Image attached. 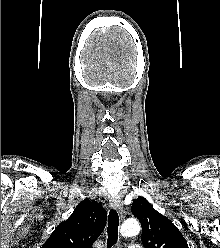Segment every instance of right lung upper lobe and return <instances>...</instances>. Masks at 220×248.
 Here are the masks:
<instances>
[{
    "mask_svg": "<svg viewBox=\"0 0 220 248\" xmlns=\"http://www.w3.org/2000/svg\"><path fill=\"white\" fill-rule=\"evenodd\" d=\"M106 225V211L91 200L81 201L52 232L42 248H92Z\"/></svg>",
    "mask_w": 220,
    "mask_h": 248,
    "instance_id": "1",
    "label": "right lung upper lobe"
}]
</instances>
